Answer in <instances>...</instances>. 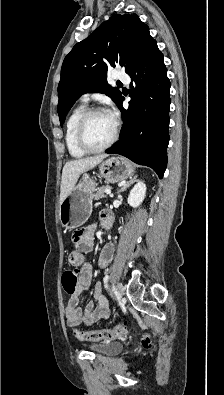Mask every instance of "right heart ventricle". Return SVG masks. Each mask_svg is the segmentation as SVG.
Wrapping results in <instances>:
<instances>
[{
  "label": "right heart ventricle",
  "instance_id": "obj_1",
  "mask_svg": "<svg viewBox=\"0 0 224 395\" xmlns=\"http://www.w3.org/2000/svg\"><path fill=\"white\" fill-rule=\"evenodd\" d=\"M85 111V104L78 105L72 110L66 121L65 143L70 155L74 158H81L86 155V152L78 145L76 138L77 124Z\"/></svg>",
  "mask_w": 224,
  "mask_h": 395
}]
</instances>
